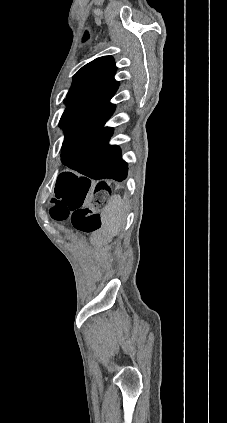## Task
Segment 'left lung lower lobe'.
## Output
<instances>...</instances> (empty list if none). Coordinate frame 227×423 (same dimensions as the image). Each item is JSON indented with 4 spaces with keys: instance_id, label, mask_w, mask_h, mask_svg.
Listing matches in <instances>:
<instances>
[{
    "instance_id": "obj_1",
    "label": "left lung lower lobe",
    "mask_w": 227,
    "mask_h": 423,
    "mask_svg": "<svg viewBox=\"0 0 227 423\" xmlns=\"http://www.w3.org/2000/svg\"><path fill=\"white\" fill-rule=\"evenodd\" d=\"M111 115L65 137L61 154L64 165L91 179L122 181L126 178L128 168L121 159L120 148L108 144L113 130L103 128ZM68 175L75 177L71 173Z\"/></svg>"
}]
</instances>
